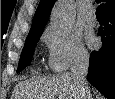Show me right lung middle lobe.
I'll return each instance as SVG.
<instances>
[{
	"instance_id": "obj_1",
	"label": "right lung middle lobe",
	"mask_w": 115,
	"mask_h": 99,
	"mask_svg": "<svg viewBox=\"0 0 115 99\" xmlns=\"http://www.w3.org/2000/svg\"><path fill=\"white\" fill-rule=\"evenodd\" d=\"M40 36L41 34H34V35H29L27 37L24 48L21 53L17 72H20L21 70H23L31 62L35 46Z\"/></svg>"
}]
</instances>
